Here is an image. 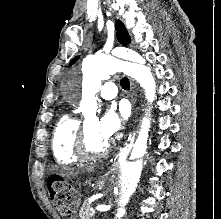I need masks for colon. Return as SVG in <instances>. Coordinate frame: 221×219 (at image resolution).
<instances>
[{
    "mask_svg": "<svg viewBox=\"0 0 221 219\" xmlns=\"http://www.w3.org/2000/svg\"><path fill=\"white\" fill-rule=\"evenodd\" d=\"M50 190L52 193L60 196L63 194V191L65 190V183L63 181H52L50 183ZM66 203L70 209L69 212L71 213L73 211V207L75 205V194L74 193H70L67 196Z\"/></svg>",
    "mask_w": 221,
    "mask_h": 219,
    "instance_id": "5ec220e1",
    "label": "colon"
}]
</instances>
